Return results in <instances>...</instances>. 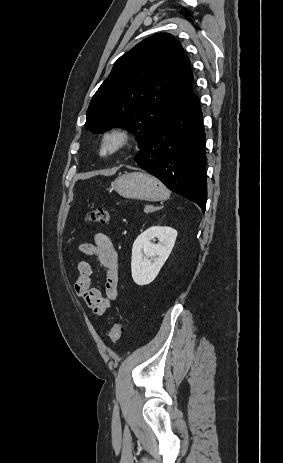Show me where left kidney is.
Instances as JSON below:
<instances>
[{
	"mask_svg": "<svg viewBox=\"0 0 283 463\" xmlns=\"http://www.w3.org/2000/svg\"><path fill=\"white\" fill-rule=\"evenodd\" d=\"M177 237L171 227L152 226L140 234L132 248L131 271L137 285L150 284L168 259ZM158 239V244L152 242Z\"/></svg>",
	"mask_w": 283,
	"mask_h": 463,
	"instance_id": "obj_1",
	"label": "left kidney"
}]
</instances>
